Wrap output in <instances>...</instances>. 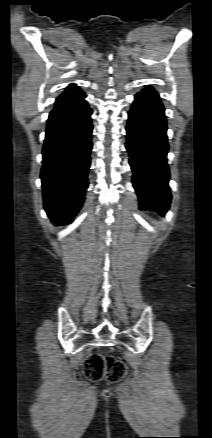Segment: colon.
Returning <instances> with one entry per match:
<instances>
[{"instance_id": "colon-1", "label": "colon", "mask_w": 212, "mask_h": 438, "mask_svg": "<svg viewBox=\"0 0 212 438\" xmlns=\"http://www.w3.org/2000/svg\"><path fill=\"white\" fill-rule=\"evenodd\" d=\"M126 372L125 363L112 356L91 354L84 363V373L92 381L105 378L111 382H118L125 377Z\"/></svg>"}]
</instances>
